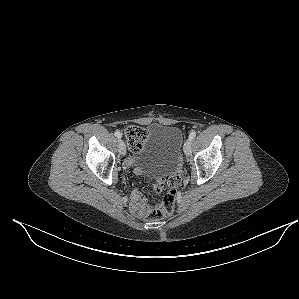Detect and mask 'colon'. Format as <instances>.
I'll return each mask as SVG.
<instances>
[{"instance_id":"1","label":"colon","mask_w":299,"mask_h":299,"mask_svg":"<svg viewBox=\"0 0 299 299\" xmlns=\"http://www.w3.org/2000/svg\"><path fill=\"white\" fill-rule=\"evenodd\" d=\"M124 135L131 151L138 152L141 150L146 138L147 131L145 128L130 125L125 128ZM182 181V171L180 166L169 174L165 180L157 186V190H165L163 198L148 213L151 219H161L172 213L175 205L177 189Z\"/></svg>"}]
</instances>
